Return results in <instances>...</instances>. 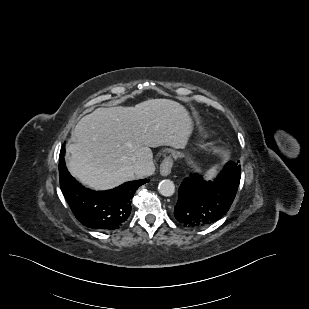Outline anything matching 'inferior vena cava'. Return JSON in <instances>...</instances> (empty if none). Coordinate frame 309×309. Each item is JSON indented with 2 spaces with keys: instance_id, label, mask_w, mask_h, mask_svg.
I'll return each instance as SVG.
<instances>
[{
  "instance_id": "1",
  "label": "inferior vena cava",
  "mask_w": 309,
  "mask_h": 309,
  "mask_svg": "<svg viewBox=\"0 0 309 309\" xmlns=\"http://www.w3.org/2000/svg\"><path fill=\"white\" fill-rule=\"evenodd\" d=\"M142 169H143V165L140 162L134 160V171H135V173L136 174L141 173Z\"/></svg>"
}]
</instances>
